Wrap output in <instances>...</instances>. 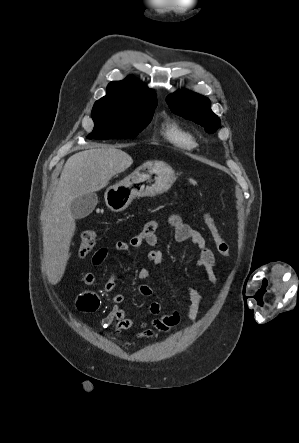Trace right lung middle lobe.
Here are the masks:
<instances>
[{
  "instance_id": "right-lung-middle-lobe-1",
  "label": "right lung middle lobe",
  "mask_w": 299,
  "mask_h": 443,
  "mask_svg": "<svg viewBox=\"0 0 299 443\" xmlns=\"http://www.w3.org/2000/svg\"><path fill=\"white\" fill-rule=\"evenodd\" d=\"M156 105L136 106L115 101H96L92 109L95 123L89 139H129L151 121Z\"/></svg>"
}]
</instances>
